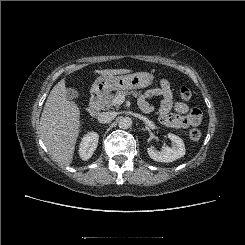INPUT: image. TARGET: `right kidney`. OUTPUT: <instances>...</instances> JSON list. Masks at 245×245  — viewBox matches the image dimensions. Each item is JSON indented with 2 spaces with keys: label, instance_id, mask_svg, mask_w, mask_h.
Here are the masks:
<instances>
[{
  "label": "right kidney",
  "instance_id": "obj_1",
  "mask_svg": "<svg viewBox=\"0 0 245 245\" xmlns=\"http://www.w3.org/2000/svg\"><path fill=\"white\" fill-rule=\"evenodd\" d=\"M99 135L96 132L86 134L79 146V155L82 160H88L92 157L98 146Z\"/></svg>",
  "mask_w": 245,
  "mask_h": 245
}]
</instances>
